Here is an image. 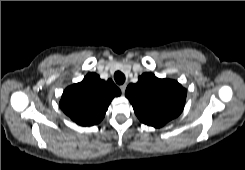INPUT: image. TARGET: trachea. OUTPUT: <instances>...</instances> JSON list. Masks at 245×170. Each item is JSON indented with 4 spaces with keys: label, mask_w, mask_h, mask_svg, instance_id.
I'll return each mask as SVG.
<instances>
[{
    "label": "trachea",
    "mask_w": 245,
    "mask_h": 170,
    "mask_svg": "<svg viewBox=\"0 0 245 170\" xmlns=\"http://www.w3.org/2000/svg\"><path fill=\"white\" fill-rule=\"evenodd\" d=\"M114 79L117 84L121 85L125 82V75L122 72L117 71L114 74Z\"/></svg>",
    "instance_id": "1"
}]
</instances>
